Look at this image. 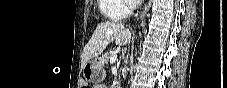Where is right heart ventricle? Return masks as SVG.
<instances>
[{
    "mask_svg": "<svg viewBox=\"0 0 227 88\" xmlns=\"http://www.w3.org/2000/svg\"><path fill=\"white\" fill-rule=\"evenodd\" d=\"M98 8L108 20H121L128 14L126 0H98Z\"/></svg>",
    "mask_w": 227,
    "mask_h": 88,
    "instance_id": "e07e8e85",
    "label": "right heart ventricle"
}]
</instances>
